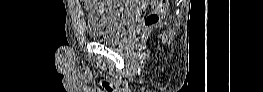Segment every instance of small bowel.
<instances>
[{"instance_id":"obj_1","label":"small bowel","mask_w":263,"mask_h":92,"mask_svg":"<svg viewBox=\"0 0 263 92\" xmlns=\"http://www.w3.org/2000/svg\"><path fill=\"white\" fill-rule=\"evenodd\" d=\"M85 2V6L86 8L90 9L93 7L94 4H96L97 1L93 0V1H84ZM149 6H153L152 2H146Z\"/></svg>"}]
</instances>
